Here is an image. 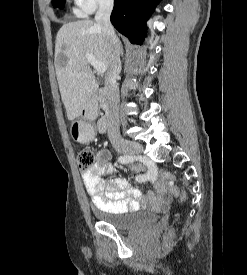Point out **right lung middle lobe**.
Instances as JSON below:
<instances>
[{
	"label": "right lung middle lobe",
	"mask_w": 247,
	"mask_h": 275,
	"mask_svg": "<svg viewBox=\"0 0 247 275\" xmlns=\"http://www.w3.org/2000/svg\"><path fill=\"white\" fill-rule=\"evenodd\" d=\"M52 3L54 7L63 8L65 0H52Z\"/></svg>",
	"instance_id": "obj_1"
}]
</instances>
